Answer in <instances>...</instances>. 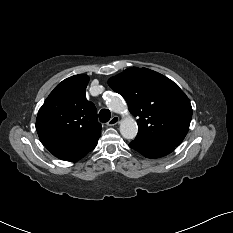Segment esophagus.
<instances>
[{
  "instance_id": "obj_1",
  "label": "esophagus",
  "mask_w": 233,
  "mask_h": 233,
  "mask_svg": "<svg viewBox=\"0 0 233 233\" xmlns=\"http://www.w3.org/2000/svg\"><path fill=\"white\" fill-rule=\"evenodd\" d=\"M119 117L118 116H116V115H114L108 122H107V125L108 126H114V125H116V124H118L119 123Z\"/></svg>"
}]
</instances>
